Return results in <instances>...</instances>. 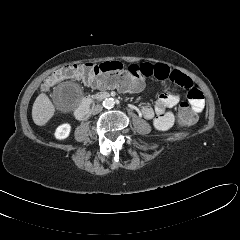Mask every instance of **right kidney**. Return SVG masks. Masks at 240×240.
<instances>
[{
  "mask_svg": "<svg viewBox=\"0 0 240 240\" xmlns=\"http://www.w3.org/2000/svg\"><path fill=\"white\" fill-rule=\"evenodd\" d=\"M70 131H71V125L68 123H64L57 127L54 134L55 138L59 140L65 139L69 136Z\"/></svg>",
  "mask_w": 240,
  "mask_h": 240,
  "instance_id": "right-kidney-1",
  "label": "right kidney"
}]
</instances>
